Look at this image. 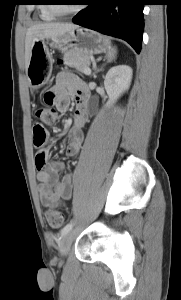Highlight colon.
I'll return each mask as SVG.
<instances>
[{
	"mask_svg": "<svg viewBox=\"0 0 181 300\" xmlns=\"http://www.w3.org/2000/svg\"><path fill=\"white\" fill-rule=\"evenodd\" d=\"M44 99L47 106L37 108L34 112V116L43 124H51L58 118V112L52 106L54 102V95L50 92H47L44 96ZM41 123H37L33 127V144L37 150L35 162L38 167L43 166L45 163V157L39 152L43 149L48 139L47 130ZM44 216L46 222L52 228L61 227L65 222V215L54 207H48L45 210Z\"/></svg>",
	"mask_w": 181,
	"mask_h": 300,
	"instance_id": "obj_1",
	"label": "colon"
}]
</instances>
